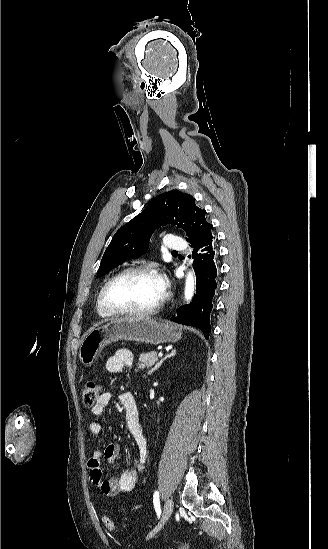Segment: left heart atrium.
I'll return each instance as SVG.
<instances>
[{
  "mask_svg": "<svg viewBox=\"0 0 328 549\" xmlns=\"http://www.w3.org/2000/svg\"><path fill=\"white\" fill-rule=\"evenodd\" d=\"M160 281H161V284H162V287H163V290H164L167 286V280H166L165 277L160 276Z\"/></svg>",
  "mask_w": 328,
  "mask_h": 549,
  "instance_id": "1",
  "label": "left heart atrium"
}]
</instances>
